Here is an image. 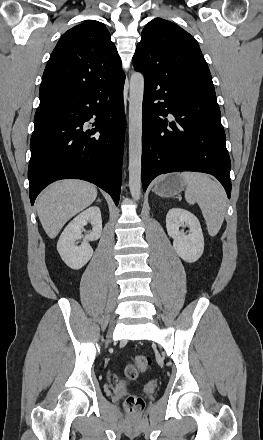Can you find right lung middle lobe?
<instances>
[{
  "label": "right lung middle lobe",
  "instance_id": "1",
  "mask_svg": "<svg viewBox=\"0 0 263 440\" xmlns=\"http://www.w3.org/2000/svg\"><path fill=\"white\" fill-rule=\"evenodd\" d=\"M53 108H54V105L38 107V109L35 113L34 123L43 119L48 114H50L52 112Z\"/></svg>",
  "mask_w": 263,
  "mask_h": 440
}]
</instances>
